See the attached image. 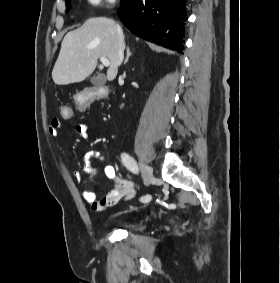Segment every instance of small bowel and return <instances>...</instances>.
<instances>
[{
  "mask_svg": "<svg viewBox=\"0 0 280 283\" xmlns=\"http://www.w3.org/2000/svg\"><path fill=\"white\" fill-rule=\"evenodd\" d=\"M60 128L61 122L58 119L52 120L48 128L50 136L57 137L59 135ZM75 132L80 138L88 137V127L83 123L75 126ZM90 158L104 160V157L99 152L90 151L86 154V162L83 166V171L91 177L89 182L91 188L83 192V198L90 204L93 211H105L108 208L130 200L135 195L134 184L131 181L120 177L115 169L108 165L105 166L104 173L108 179L113 181V185L106 195H104L101 199H98L95 191L93 190L95 186L94 177L97 175V169L90 164ZM72 175L75 180H81L82 178V173L79 170H74Z\"/></svg>",
  "mask_w": 280,
  "mask_h": 283,
  "instance_id": "obj_1",
  "label": "small bowel"
}]
</instances>
